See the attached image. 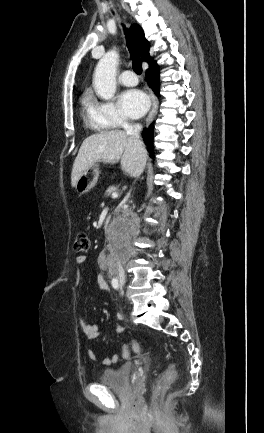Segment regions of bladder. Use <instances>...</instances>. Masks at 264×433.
Wrapping results in <instances>:
<instances>
[{
    "instance_id": "1",
    "label": "bladder",
    "mask_w": 264,
    "mask_h": 433,
    "mask_svg": "<svg viewBox=\"0 0 264 433\" xmlns=\"http://www.w3.org/2000/svg\"><path fill=\"white\" fill-rule=\"evenodd\" d=\"M132 366L123 365L118 369H104L100 375L99 382L103 386L121 393L130 389V373Z\"/></svg>"
}]
</instances>
